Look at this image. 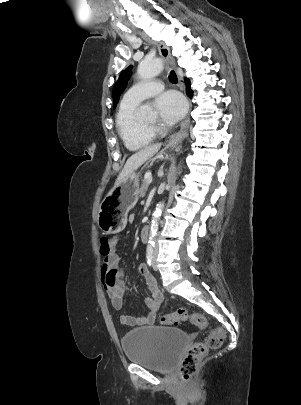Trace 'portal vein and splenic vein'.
Returning <instances> with one entry per match:
<instances>
[{"label":"portal vein and splenic vein","mask_w":301,"mask_h":405,"mask_svg":"<svg viewBox=\"0 0 301 405\" xmlns=\"http://www.w3.org/2000/svg\"><path fill=\"white\" fill-rule=\"evenodd\" d=\"M146 179H151V174L150 173H146L144 176Z\"/></svg>","instance_id":"18ae733b"}]
</instances>
